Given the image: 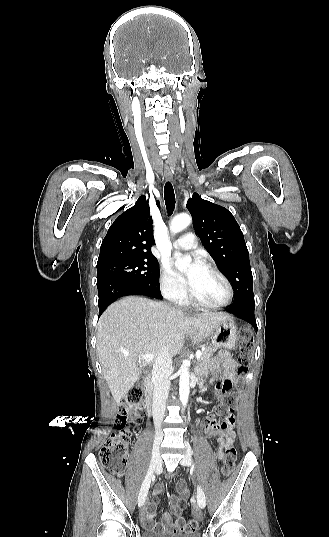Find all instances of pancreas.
I'll return each instance as SVG.
<instances>
[{
  "label": "pancreas",
  "instance_id": "1",
  "mask_svg": "<svg viewBox=\"0 0 329 537\" xmlns=\"http://www.w3.org/2000/svg\"><path fill=\"white\" fill-rule=\"evenodd\" d=\"M217 350V348L215 347H205L203 350H202V356L200 357L199 361L200 362H206L212 355L213 353Z\"/></svg>",
  "mask_w": 329,
  "mask_h": 537
}]
</instances>
